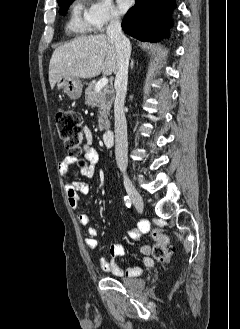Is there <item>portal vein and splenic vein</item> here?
<instances>
[{"label": "portal vein and splenic vein", "mask_w": 240, "mask_h": 329, "mask_svg": "<svg viewBox=\"0 0 240 329\" xmlns=\"http://www.w3.org/2000/svg\"><path fill=\"white\" fill-rule=\"evenodd\" d=\"M107 84H108V79L106 77L100 79L95 85L96 92H99L101 89L106 87Z\"/></svg>", "instance_id": "obj_1"}]
</instances>
